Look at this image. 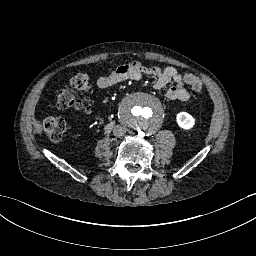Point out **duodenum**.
I'll return each mask as SVG.
<instances>
[{
    "mask_svg": "<svg viewBox=\"0 0 256 256\" xmlns=\"http://www.w3.org/2000/svg\"><path fill=\"white\" fill-rule=\"evenodd\" d=\"M113 126H114V122L110 121V122L105 124L104 130L109 133V132H111Z\"/></svg>",
    "mask_w": 256,
    "mask_h": 256,
    "instance_id": "1",
    "label": "duodenum"
}]
</instances>
